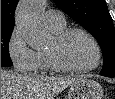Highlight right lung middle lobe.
<instances>
[{
	"label": "right lung middle lobe",
	"instance_id": "dd1d6c3e",
	"mask_svg": "<svg viewBox=\"0 0 115 99\" xmlns=\"http://www.w3.org/2000/svg\"><path fill=\"white\" fill-rule=\"evenodd\" d=\"M13 29H1V67L12 66L9 55V41Z\"/></svg>",
	"mask_w": 115,
	"mask_h": 99
}]
</instances>
